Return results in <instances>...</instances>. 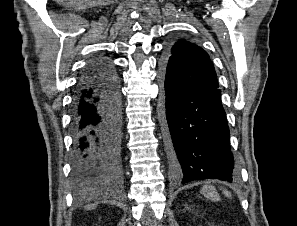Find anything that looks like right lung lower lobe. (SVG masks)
Returning a JSON list of instances; mask_svg holds the SVG:
<instances>
[{
  "label": "right lung lower lobe",
  "mask_w": 297,
  "mask_h": 226,
  "mask_svg": "<svg viewBox=\"0 0 297 226\" xmlns=\"http://www.w3.org/2000/svg\"><path fill=\"white\" fill-rule=\"evenodd\" d=\"M91 77L80 83L74 97L73 175L80 192L117 183L122 178L121 93L119 77L106 61L89 70Z\"/></svg>",
  "instance_id": "98d812e1"
}]
</instances>
